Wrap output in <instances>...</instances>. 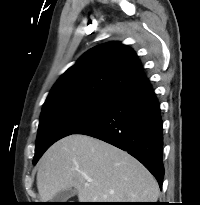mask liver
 Instances as JSON below:
<instances>
[{"instance_id":"obj_1","label":"liver","mask_w":200,"mask_h":205,"mask_svg":"<svg viewBox=\"0 0 200 205\" xmlns=\"http://www.w3.org/2000/svg\"><path fill=\"white\" fill-rule=\"evenodd\" d=\"M72 187L79 202H156L159 196L157 181L135 158L79 134L54 143L38 163L37 188L42 202Z\"/></svg>"}]
</instances>
